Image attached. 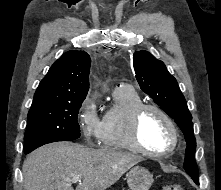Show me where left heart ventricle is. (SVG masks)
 <instances>
[{
  "label": "left heart ventricle",
  "mask_w": 221,
  "mask_h": 190,
  "mask_svg": "<svg viewBox=\"0 0 221 190\" xmlns=\"http://www.w3.org/2000/svg\"><path fill=\"white\" fill-rule=\"evenodd\" d=\"M140 139L149 149L161 151L172 143V133L166 121L155 111L148 110L140 122Z\"/></svg>",
  "instance_id": "obj_1"
}]
</instances>
